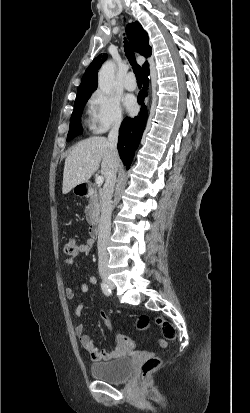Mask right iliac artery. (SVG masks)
Listing matches in <instances>:
<instances>
[{"mask_svg":"<svg viewBox=\"0 0 250 413\" xmlns=\"http://www.w3.org/2000/svg\"><path fill=\"white\" fill-rule=\"evenodd\" d=\"M101 289H102L103 293H104L106 296H109V295H110L111 290L109 289V287H108V285H107L106 283H104V282L101 283Z\"/></svg>","mask_w":250,"mask_h":413,"instance_id":"right-iliac-artery-1","label":"right iliac artery"}]
</instances>
